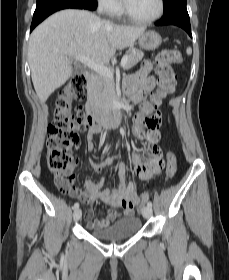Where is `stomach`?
<instances>
[{"mask_svg":"<svg viewBox=\"0 0 229 280\" xmlns=\"http://www.w3.org/2000/svg\"><path fill=\"white\" fill-rule=\"evenodd\" d=\"M162 42L161 36L154 31L144 32L139 38L138 43L144 50H155Z\"/></svg>","mask_w":229,"mask_h":280,"instance_id":"obj_1","label":"stomach"}]
</instances>
